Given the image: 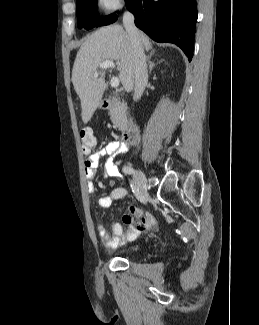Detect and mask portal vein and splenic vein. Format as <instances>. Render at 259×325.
Listing matches in <instances>:
<instances>
[{"instance_id": "obj_1", "label": "portal vein and splenic vein", "mask_w": 259, "mask_h": 325, "mask_svg": "<svg viewBox=\"0 0 259 325\" xmlns=\"http://www.w3.org/2000/svg\"><path fill=\"white\" fill-rule=\"evenodd\" d=\"M115 64L113 61L108 60V61H104L103 63L100 64V69H107V68H114ZM99 76V74L96 72L94 74V78H97ZM110 85L111 87H118L119 85V79L117 77H112L111 81H110Z\"/></svg>"}]
</instances>
